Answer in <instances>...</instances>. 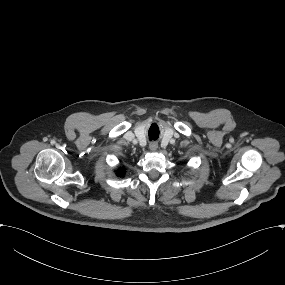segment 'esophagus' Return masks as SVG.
I'll list each match as a JSON object with an SVG mask.
<instances>
[{
	"instance_id": "1",
	"label": "esophagus",
	"mask_w": 285,
	"mask_h": 285,
	"mask_svg": "<svg viewBox=\"0 0 285 285\" xmlns=\"http://www.w3.org/2000/svg\"><path fill=\"white\" fill-rule=\"evenodd\" d=\"M149 148L151 151L155 152L158 148V144L156 142H152L149 144Z\"/></svg>"
}]
</instances>
